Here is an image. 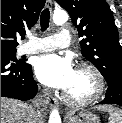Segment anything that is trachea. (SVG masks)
Wrapping results in <instances>:
<instances>
[{
    "instance_id": "1",
    "label": "trachea",
    "mask_w": 122,
    "mask_h": 123,
    "mask_svg": "<svg viewBox=\"0 0 122 123\" xmlns=\"http://www.w3.org/2000/svg\"><path fill=\"white\" fill-rule=\"evenodd\" d=\"M50 12L49 9H44L40 16V26L41 30L45 31L49 27ZM24 38V37H23Z\"/></svg>"
}]
</instances>
